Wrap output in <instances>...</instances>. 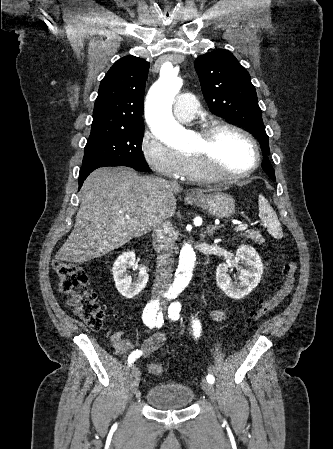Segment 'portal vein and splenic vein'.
<instances>
[{
	"label": "portal vein and splenic vein",
	"instance_id": "1",
	"mask_svg": "<svg viewBox=\"0 0 333 449\" xmlns=\"http://www.w3.org/2000/svg\"><path fill=\"white\" fill-rule=\"evenodd\" d=\"M126 217H128V215H126ZM247 227H248L247 224H240L235 230L237 231L246 230Z\"/></svg>",
	"mask_w": 333,
	"mask_h": 449
}]
</instances>
